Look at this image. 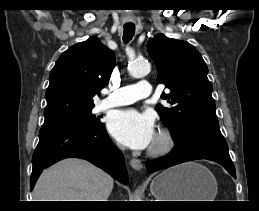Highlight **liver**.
<instances>
[{"label":"liver","mask_w":259,"mask_h":211,"mask_svg":"<svg viewBox=\"0 0 259 211\" xmlns=\"http://www.w3.org/2000/svg\"><path fill=\"white\" fill-rule=\"evenodd\" d=\"M113 178L90 162L77 158L59 161L40 175L34 201H108Z\"/></svg>","instance_id":"1"}]
</instances>
